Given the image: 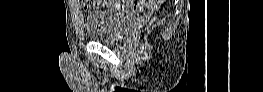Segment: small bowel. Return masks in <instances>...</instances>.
Instances as JSON below:
<instances>
[{"label":"small bowel","instance_id":"small-bowel-1","mask_svg":"<svg viewBox=\"0 0 263 92\" xmlns=\"http://www.w3.org/2000/svg\"><path fill=\"white\" fill-rule=\"evenodd\" d=\"M77 6H79V2L78 1H73ZM88 4V3H87Z\"/></svg>","mask_w":263,"mask_h":92}]
</instances>
